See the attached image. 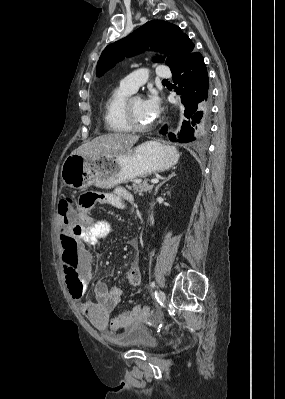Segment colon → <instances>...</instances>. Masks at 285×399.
<instances>
[{
  "label": "colon",
  "instance_id": "5ec220e1",
  "mask_svg": "<svg viewBox=\"0 0 285 399\" xmlns=\"http://www.w3.org/2000/svg\"><path fill=\"white\" fill-rule=\"evenodd\" d=\"M98 203L97 193H87L81 200L80 205L86 208L93 207ZM73 206V199L69 196H65L60 200L59 210L62 215H65ZM63 270L66 277L67 286L69 292L74 297H80L82 291V283L80 277L78 255L75 249L68 250L62 258ZM149 309L145 306H133L132 308L126 309L118 316L111 320V326L113 328H120L129 326L139 319H142L148 315Z\"/></svg>",
  "mask_w": 285,
  "mask_h": 399
}]
</instances>
